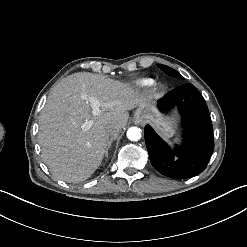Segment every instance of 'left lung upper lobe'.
<instances>
[{
  "label": "left lung upper lobe",
  "mask_w": 247,
  "mask_h": 247,
  "mask_svg": "<svg viewBox=\"0 0 247 247\" xmlns=\"http://www.w3.org/2000/svg\"><path fill=\"white\" fill-rule=\"evenodd\" d=\"M158 67L161 68L168 75H171V76L176 77V78L183 79V77L177 71H175L174 69H172V68H170V67H168L166 65L158 64Z\"/></svg>",
  "instance_id": "obj_1"
}]
</instances>
